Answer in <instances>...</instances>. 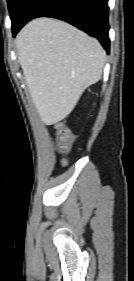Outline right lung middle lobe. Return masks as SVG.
<instances>
[{
    "label": "right lung middle lobe",
    "instance_id": "right-lung-middle-lobe-1",
    "mask_svg": "<svg viewBox=\"0 0 134 281\" xmlns=\"http://www.w3.org/2000/svg\"><path fill=\"white\" fill-rule=\"evenodd\" d=\"M30 0H7L10 17L12 21V31L21 24L24 11Z\"/></svg>",
    "mask_w": 134,
    "mask_h": 281
}]
</instances>
